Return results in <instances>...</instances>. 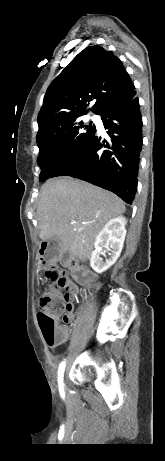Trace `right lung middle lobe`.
Here are the masks:
<instances>
[{
	"label": "right lung middle lobe",
	"instance_id": "dd1d6c3e",
	"mask_svg": "<svg viewBox=\"0 0 165 461\" xmlns=\"http://www.w3.org/2000/svg\"><path fill=\"white\" fill-rule=\"evenodd\" d=\"M77 118L60 123L36 138L41 182L57 172L90 139L95 125H83Z\"/></svg>",
	"mask_w": 165,
	"mask_h": 461
}]
</instances>
